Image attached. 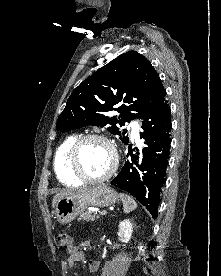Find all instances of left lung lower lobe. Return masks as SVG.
<instances>
[{
  "label": "left lung lower lobe",
  "mask_w": 221,
  "mask_h": 276,
  "mask_svg": "<svg viewBox=\"0 0 221 276\" xmlns=\"http://www.w3.org/2000/svg\"><path fill=\"white\" fill-rule=\"evenodd\" d=\"M171 110L168 101L164 100L142 122L145 147L142 156L135 148L136 154L131 155L111 184L127 191L142 203L156 218L160 203V192L166 179V168L171 144L170 131ZM129 152L131 147L129 146Z\"/></svg>",
  "instance_id": "obj_1"
}]
</instances>
